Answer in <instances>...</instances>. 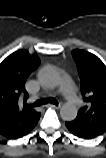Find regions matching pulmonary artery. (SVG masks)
Masks as SVG:
<instances>
[{
  "instance_id": "1",
  "label": "pulmonary artery",
  "mask_w": 106,
  "mask_h": 158,
  "mask_svg": "<svg viewBox=\"0 0 106 158\" xmlns=\"http://www.w3.org/2000/svg\"><path fill=\"white\" fill-rule=\"evenodd\" d=\"M64 91L69 95H72V94L75 93V86H74V84L72 83L71 80H69V79L65 80V82H64Z\"/></svg>"
}]
</instances>
